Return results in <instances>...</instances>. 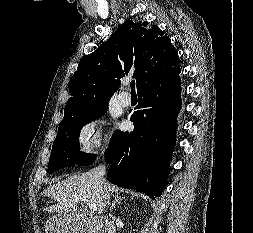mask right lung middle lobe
I'll use <instances>...</instances> for the list:
<instances>
[{"instance_id": "obj_1", "label": "right lung middle lobe", "mask_w": 253, "mask_h": 233, "mask_svg": "<svg viewBox=\"0 0 253 233\" xmlns=\"http://www.w3.org/2000/svg\"><path fill=\"white\" fill-rule=\"evenodd\" d=\"M107 107L108 102H103L62 120L52 147L49 173L72 164L78 165L95 156L80 152L79 133L85 124L103 116Z\"/></svg>"}]
</instances>
